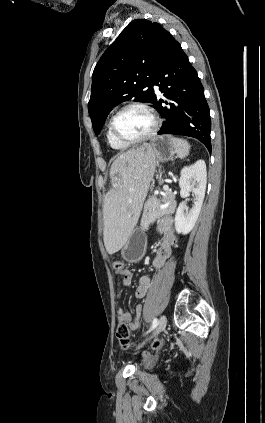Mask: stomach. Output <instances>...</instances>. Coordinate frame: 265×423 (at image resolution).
<instances>
[{
  "mask_svg": "<svg viewBox=\"0 0 265 423\" xmlns=\"http://www.w3.org/2000/svg\"><path fill=\"white\" fill-rule=\"evenodd\" d=\"M155 153L157 162H166L173 158L175 153L172 138L169 136H159L154 138L149 144ZM146 251V238L142 229L135 228L130 233L124 244L121 254L130 263H138L142 260Z\"/></svg>",
  "mask_w": 265,
  "mask_h": 423,
  "instance_id": "obj_1",
  "label": "stomach"
}]
</instances>
